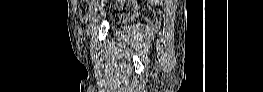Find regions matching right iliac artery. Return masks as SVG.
Segmentation results:
<instances>
[{"instance_id": "82829eb1", "label": "right iliac artery", "mask_w": 263, "mask_h": 92, "mask_svg": "<svg viewBox=\"0 0 263 92\" xmlns=\"http://www.w3.org/2000/svg\"><path fill=\"white\" fill-rule=\"evenodd\" d=\"M93 2H94V0H89V1H88V4H89V5H92Z\"/></svg>"}]
</instances>
